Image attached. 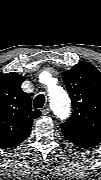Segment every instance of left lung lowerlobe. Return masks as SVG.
Instances as JSON below:
<instances>
[{
	"instance_id": "obj_1",
	"label": "left lung lower lobe",
	"mask_w": 101,
	"mask_h": 180,
	"mask_svg": "<svg viewBox=\"0 0 101 180\" xmlns=\"http://www.w3.org/2000/svg\"><path fill=\"white\" fill-rule=\"evenodd\" d=\"M75 144L76 146H78L79 148H89L90 146H86V145H83V144H79V143H73Z\"/></svg>"
}]
</instances>
